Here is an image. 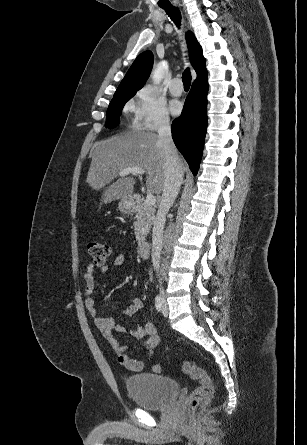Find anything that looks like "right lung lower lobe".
I'll list each match as a JSON object with an SVG mask.
<instances>
[{
    "instance_id": "right-lung-lower-lobe-1",
    "label": "right lung lower lobe",
    "mask_w": 307,
    "mask_h": 445,
    "mask_svg": "<svg viewBox=\"0 0 307 445\" xmlns=\"http://www.w3.org/2000/svg\"><path fill=\"white\" fill-rule=\"evenodd\" d=\"M207 71L198 74L186 98L182 114L171 126L176 147L188 162L194 175L197 174L202 157L207 127Z\"/></svg>"
}]
</instances>
